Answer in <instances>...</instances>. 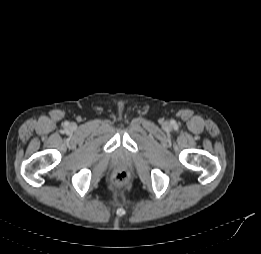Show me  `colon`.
<instances>
[{
	"label": "colon",
	"mask_w": 261,
	"mask_h": 254,
	"mask_svg": "<svg viewBox=\"0 0 261 254\" xmlns=\"http://www.w3.org/2000/svg\"><path fill=\"white\" fill-rule=\"evenodd\" d=\"M130 175L127 171L121 170L113 174L111 182L116 188H123L129 182Z\"/></svg>",
	"instance_id": "1"
}]
</instances>
